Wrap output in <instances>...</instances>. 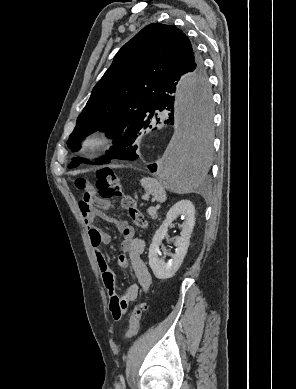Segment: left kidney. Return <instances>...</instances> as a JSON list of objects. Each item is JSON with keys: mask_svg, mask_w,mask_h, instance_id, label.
I'll return each instance as SVG.
<instances>
[{"mask_svg": "<svg viewBox=\"0 0 296 389\" xmlns=\"http://www.w3.org/2000/svg\"><path fill=\"white\" fill-rule=\"evenodd\" d=\"M181 216L184 219L180 236L175 240V253L170 254L171 259L165 262L161 258L159 246L167 236L168 227L172 222ZM195 225V207L189 200H181L173 205L168 211L165 220L160 228L155 232L152 243L149 247V266L158 279L171 278L180 268L187 253L190 237Z\"/></svg>", "mask_w": 296, "mask_h": 389, "instance_id": "5707ae66", "label": "left kidney"}]
</instances>
